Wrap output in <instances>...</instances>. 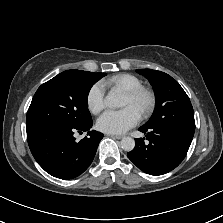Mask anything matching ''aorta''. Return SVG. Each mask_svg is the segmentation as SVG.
Returning <instances> with one entry per match:
<instances>
[{"instance_id":"obj_1","label":"aorta","mask_w":223,"mask_h":223,"mask_svg":"<svg viewBox=\"0 0 223 223\" xmlns=\"http://www.w3.org/2000/svg\"><path fill=\"white\" fill-rule=\"evenodd\" d=\"M105 104L109 108H119L124 106L123 99L114 89L105 97ZM120 144L121 148L127 152L132 151L135 147V141L131 137H123Z\"/></svg>"}]
</instances>
